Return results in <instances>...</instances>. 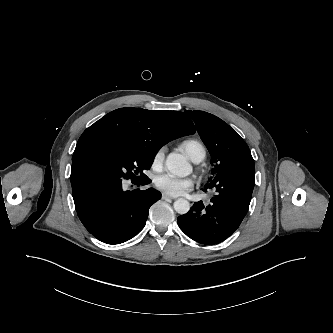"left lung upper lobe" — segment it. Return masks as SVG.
<instances>
[{
    "mask_svg": "<svg viewBox=\"0 0 333 333\" xmlns=\"http://www.w3.org/2000/svg\"><path fill=\"white\" fill-rule=\"evenodd\" d=\"M185 113L195 122L197 131L212 157V177L206 184V187H209L225 165L251 153L240 135L220 118L204 111L188 110Z\"/></svg>",
    "mask_w": 333,
    "mask_h": 333,
    "instance_id": "5c2ea615",
    "label": "left lung upper lobe"
}]
</instances>
